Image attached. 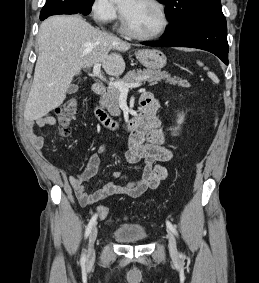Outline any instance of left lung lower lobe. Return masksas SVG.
<instances>
[{
	"instance_id": "obj_1",
	"label": "left lung lower lobe",
	"mask_w": 259,
	"mask_h": 283,
	"mask_svg": "<svg viewBox=\"0 0 259 283\" xmlns=\"http://www.w3.org/2000/svg\"><path fill=\"white\" fill-rule=\"evenodd\" d=\"M154 47H192L209 51L228 64L227 25L222 9L201 16L176 31L166 32L159 41L142 42Z\"/></svg>"
}]
</instances>
